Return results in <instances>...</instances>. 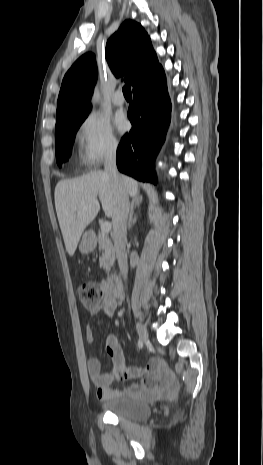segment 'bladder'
<instances>
[{
	"instance_id": "1",
	"label": "bladder",
	"mask_w": 263,
	"mask_h": 465,
	"mask_svg": "<svg viewBox=\"0 0 263 465\" xmlns=\"http://www.w3.org/2000/svg\"><path fill=\"white\" fill-rule=\"evenodd\" d=\"M100 405L104 411L132 421L146 420L152 414V408L148 403L129 396L110 398Z\"/></svg>"
}]
</instances>
